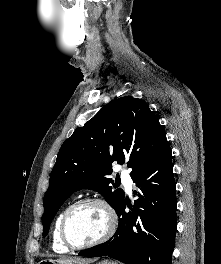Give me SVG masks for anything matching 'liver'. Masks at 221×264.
I'll use <instances>...</instances> for the list:
<instances>
[{"label":"liver","mask_w":221,"mask_h":264,"mask_svg":"<svg viewBox=\"0 0 221 264\" xmlns=\"http://www.w3.org/2000/svg\"><path fill=\"white\" fill-rule=\"evenodd\" d=\"M60 262H63V263H72V262H78V263H84V262H87L89 263L90 261L89 260H82V259H60L59 260Z\"/></svg>","instance_id":"obj_1"}]
</instances>
